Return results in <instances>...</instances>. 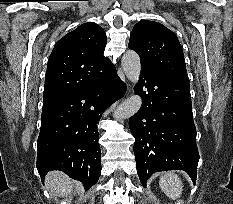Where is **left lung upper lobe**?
Segmentation results:
<instances>
[{"label":"left lung upper lobe","instance_id":"1","mask_svg":"<svg viewBox=\"0 0 233 204\" xmlns=\"http://www.w3.org/2000/svg\"><path fill=\"white\" fill-rule=\"evenodd\" d=\"M128 47L140 56L141 68L189 82L182 47L164 25L148 20L138 22Z\"/></svg>","mask_w":233,"mask_h":204}]
</instances>
